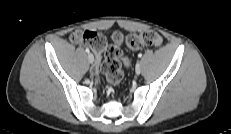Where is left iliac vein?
Segmentation results:
<instances>
[{"instance_id":"4c4485c4","label":"left iliac vein","mask_w":231,"mask_h":134,"mask_svg":"<svg viewBox=\"0 0 231 134\" xmlns=\"http://www.w3.org/2000/svg\"><path fill=\"white\" fill-rule=\"evenodd\" d=\"M135 72L137 75H139L141 73V66L139 63L136 65Z\"/></svg>"}]
</instances>
